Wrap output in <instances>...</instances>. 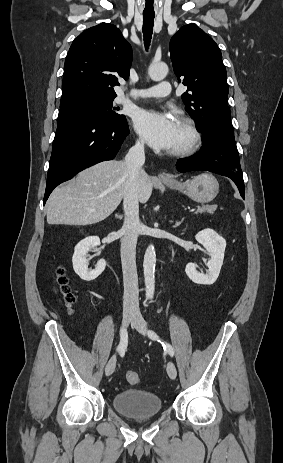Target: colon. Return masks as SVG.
<instances>
[{"instance_id": "1", "label": "colon", "mask_w": 283, "mask_h": 463, "mask_svg": "<svg viewBox=\"0 0 283 463\" xmlns=\"http://www.w3.org/2000/svg\"><path fill=\"white\" fill-rule=\"evenodd\" d=\"M56 291L60 295L61 301L66 305L70 306L74 303L76 297L68 284V279L63 268H57L53 278ZM126 380L129 384L137 385L141 382L140 375L135 371H128L126 373Z\"/></svg>"}]
</instances>
